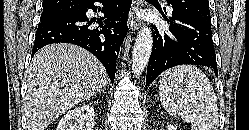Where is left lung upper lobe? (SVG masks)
I'll return each instance as SVG.
<instances>
[{
    "label": "left lung upper lobe",
    "mask_w": 249,
    "mask_h": 130,
    "mask_svg": "<svg viewBox=\"0 0 249 130\" xmlns=\"http://www.w3.org/2000/svg\"><path fill=\"white\" fill-rule=\"evenodd\" d=\"M168 3L172 5L174 13L211 23L208 0H168Z\"/></svg>",
    "instance_id": "5c2ea615"
}]
</instances>
